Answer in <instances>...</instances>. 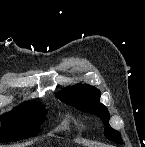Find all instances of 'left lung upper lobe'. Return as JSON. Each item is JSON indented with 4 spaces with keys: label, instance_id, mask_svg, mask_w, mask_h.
Wrapping results in <instances>:
<instances>
[{
    "label": "left lung upper lobe",
    "instance_id": "5c2ea615",
    "mask_svg": "<svg viewBox=\"0 0 145 147\" xmlns=\"http://www.w3.org/2000/svg\"><path fill=\"white\" fill-rule=\"evenodd\" d=\"M56 96L67 105L76 106L77 109L97 115L105 125V136L118 144H122L120 133L109 124V112L100 103V91L90 85H74L56 93Z\"/></svg>",
    "mask_w": 145,
    "mask_h": 147
}]
</instances>
